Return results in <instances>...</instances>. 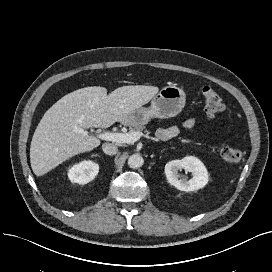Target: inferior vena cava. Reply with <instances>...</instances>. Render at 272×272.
I'll return each instance as SVG.
<instances>
[{"label":"inferior vena cava","instance_id":"inferior-vena-cava-1","mask_svg":"<svg viewBox=\"0 0 272 272\" xmlns=\"http://www.w3.org/2000/svg\"><path fill=\"white\" fill-rule=\"evenodd\" d=\"M102 150L107 155H115L118 152L117 146L111 143H104L102 145Z\"/></svg>","mask_w":272,"mask_h":272}]
</instances>
